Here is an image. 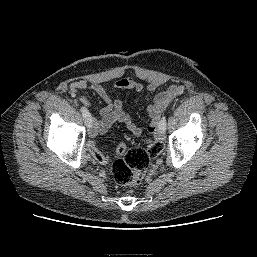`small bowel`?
Returning a JSON list of instances; mask_svg holds the SVG:
<instances>
[{
    "label": "small bowel",
    "instance_id": "1",
    "mask_svg": "<svg viewBox=\"0 0 257 257\" xmlns=\"http://www.w3.org/2000/svg\"><path fill=\"white\" fill-rule=\"evenodd\" d=\"M162 84L163 81L161 79H154L150 81L146 86H144L141 82H138L131 77H124L118 79L114 83V88L120 92L127 90L141 92L144 89L148 91H155ZM86 90H91L95 92L106 103V106L100 111V118H93L96 133H105L114 123H121L124 124L126 128L135 136H140L142 134L141 128L124 110L121 99L118 96H110L101 84L88 83L87 81L80 80L73 82L70 85L71 94L75 97H78L79 100L86 107H91L92 104L88 97L85 95ZM183 91V85L172 84L166 90L155 95L152 104H150L147 108V113L152 119V125H155L157 123L163 110L169 105L172 100L181 95Z\"/></svg>",
    "mask_w": 257,
    "mask_h": 257
}]
</instances>
